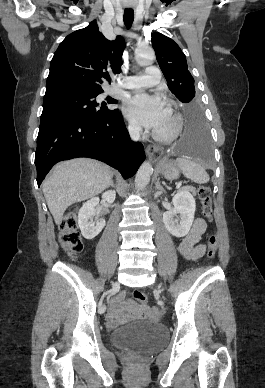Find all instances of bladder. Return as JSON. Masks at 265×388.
<instances>
[{"mask_svg":"<svg viewBox=\"0 0 265 388\" xmlns=\"http://www.w3.org/2000/svg\"><path fill=\"white\" fill-rule=\"evenodd\" d=\"M163 339L162 327L148 321L133 322L116 328L109 338L111 345L133 347L136 350L152 349L162 343Z\"/></svg>","mask_w":265,"mask_h":388,"instance_id":"obj_1","label":"bladder"}]
</instances>
